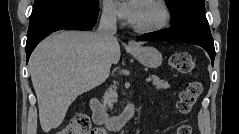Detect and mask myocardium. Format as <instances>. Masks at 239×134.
<instances>
[{"mask_svg": "<svg viewBox=\"0 0 239 134\" xmlns=\"http://www.w3.org/2000/svg\"><path fill=\"white\" fill-rule=\"evenodd\" d=\"M146 2L157 9V11L159 12L160 18L156 23L152 25H145V26L134 25V28L137 31L147 32V33L157 32L164 29L169 24V21H170V12L167 6L163 2L156 1V0H147Z\"/></svg>", "mask_w": 239, "mask_h": 134, "instance_id": "1", "label": "myocardium"}]
</instances>
